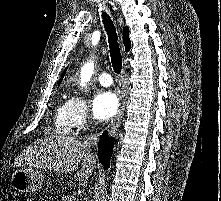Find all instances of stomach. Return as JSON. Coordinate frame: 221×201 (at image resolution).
<instances>
[{"mask_svg":"<svg viewBox=\"0 0 221 201\" xmlns=\"http://www.w3.org/2000/svg\"><path fill=\"white\" fill-rule=\"evenodd\" d=\"M44 177L32 168H17L11 175L10 186L18 193L35 192L41 189Z\"/></svg>","mask_w":221,"mask_h":201,"instance_id":"0dacf381","label":"stomach"}]
</instances>
